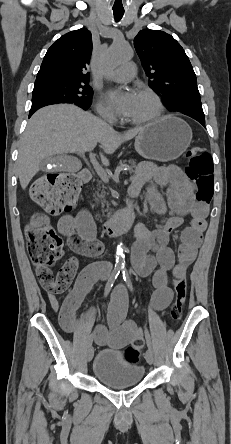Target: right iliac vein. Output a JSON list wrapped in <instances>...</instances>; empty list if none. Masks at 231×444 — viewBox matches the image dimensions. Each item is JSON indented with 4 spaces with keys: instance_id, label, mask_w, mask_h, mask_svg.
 I'll return each instance as SVG.
<instances>
[{
    "instance_id": "obj_1",
    "label": "right iliac vein",
    "mask_w": 231,
    "mask_h": 444,
    "mask_svg": "<svg viewBox=\"0 0 231 444\" xmlns=\"http://www.w3.org/2000/svg\"><path fill=\"white\" fill-rule=\"evenodd\" d=\"M93 356H94V348L90 346L89 349L87 350V360L91 361Z\"/></svg>"
}]
</instances>
